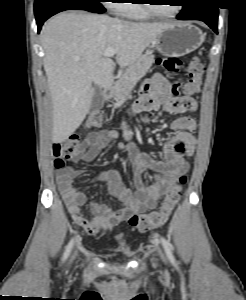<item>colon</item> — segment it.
I'll use <instances>...</instances> for the list:
<instances>
[{
  "label": "colon",
  "instance_id": "1",
  "mask_svg": "<svg viewBox=\"0 0 246 300\" xmlns=\"http://www.w3.org/2000/svg\"><path fill=\"white\" fill-rule=\"evenodd\" d=\"M164 71L168 74H175L181 70L187 73V80L183 85V92L186 95L198 93L200 91L204 66L197 57L191 58L188 62L178 57H167L160 61ZM104 117L101 111L91 112L84 122L87 129H94L102 125ZM80 137L72 135L68 139L53 145L54 166L57 169L65 167L66 163L80 154ZM186 175L181 173L167 190L161 206L152 212L134 214L130 216L129 223L139 231H147L162 225L171 215L177 205L182 186L186 183Z\"/></svg>",
  "mask_w": 246,
  "mask_h": 300
}]
</instances>
